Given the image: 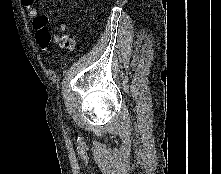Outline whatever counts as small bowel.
Returning a JSON list of instances; mask_svg holds the SVG:
<instances>
[{"instance_id": "1", "label": "small bowel", "mask_w": 221, "mask_h": 174, "mask_svg": "<svg viewBox=\"0 0 221 174\" xmlns=\"http://www.w3.org/2000/svg\"><path fill=\"white\" fill-rule=\"evenodd\" d=\"M28 15L33 19V26L36 30V37L39 46L46 50L51 42L57 44L60 48L70 50L74 47V42L66 32L69 30V26L66 23H61L59 29L62 34L51 35L48 30V19L45 16H41L38 13L36 7V0H22Z\"/></svg>"}]
</instances>
